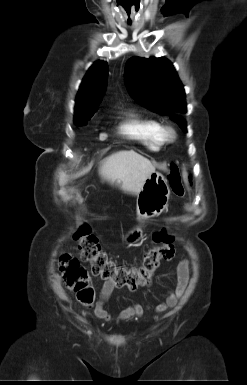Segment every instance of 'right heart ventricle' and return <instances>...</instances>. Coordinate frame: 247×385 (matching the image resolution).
Instances as JSON below:
<instances>
[{
  "instance_id": "1",
  "label": "right heart ventricle",
  "mask_w": 247,
  "mask_h": 385,
  "mask_svg": "<svg viewBox=\"0 0 247 385\" xmlns=\"http://www.w3.org/2000/svg\"><path fill=\"white\" fill-rule=\"evenodd\" d=\"M118 130L121 135L141 143L151 151H158L164 144L160 137V123L138 113L126 114Z\"/></svg>"
}]
</instances>
